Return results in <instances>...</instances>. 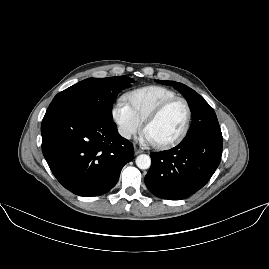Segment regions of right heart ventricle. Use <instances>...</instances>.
Here are the masks:
<instances>
[{
	"instance_id": "right-heart-ventricle-1",
	"label": "right heart ventricle",
	"mask_w": 269,
	"mask_h": 269,
	"mask_svg": "<svg viewBox=\"0 0 269 269\" xmlns=\"http://www.w3.org/2000/svg\"><path fill=\"white\" fill-rule=\"evenodd\" d=\"M174 97H177L174 91L160 86L145 87L128 94L130 108L142 124L153 110Z\"/></svg>"
}]
</instances>
